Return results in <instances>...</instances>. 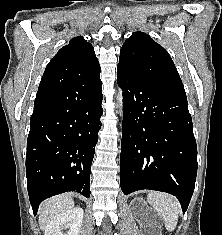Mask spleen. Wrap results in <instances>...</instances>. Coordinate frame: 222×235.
<instances>
[{"instance_id":"obj_1","label":"spleen","mask_w":222,"mask_h":235,"mask_svg":"<svg viewBox=\"0 0 222 235\" xmlns=\"http://www.w3.org/2000/svg\"><path fill=\"white\" fill-rule=\"evenodd\" d=\"M147 200L163 219L166 229L172 232L177 226L181 213V206L177 198L162 192H149Z\"/></svg>"}]
</instances>
